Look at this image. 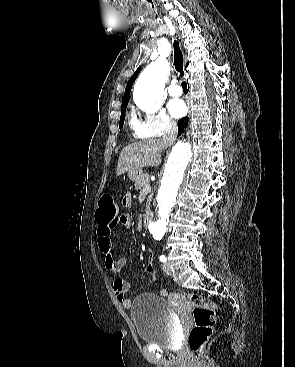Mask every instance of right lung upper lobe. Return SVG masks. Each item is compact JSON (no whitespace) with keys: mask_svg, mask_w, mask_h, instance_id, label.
<instances>
[{"mask_svg":"<svg viewBox=\"0 0 295 367\" xmlns=\"http://www.w3.org/2000/svg\"><path fill=\"white\" fill-rule=\"evenodd\" d=\"M188 66V63L186 65V67ZM141 67H139L135 73L133 74V76L130 78V80L127 83L126 86V90L122 99V105L128 104L129 101V97H130V92H131V88H132V84L135 81L136 77L138 76L139 72H140Z\"/></svg>","mask_w":295,"mask_h":367,"instance_id":"right-lung-upper-lobe-1","label":"right lung upper lobe"}]
</instances>
